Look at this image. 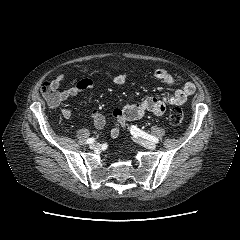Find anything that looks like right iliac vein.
Wrapping results in <instances>:
<instances>
[{
	"mask_svg": "<svg viewBox=\"0 0 240 240\" xmlns=\"http://www.w3.org/2000/svg\"><path fill=\"white\" fill-rule=\"evenodd\" d=\"M99 144L98 143H92L89 147H90V149H92V150H96V149H98L99 148Z\"/></svg>",
	"mask_w": 240,
	"mask_h": 240,
	"instance_id": "1",
	"label": "right iliac vein"
}]
</instances>
